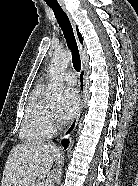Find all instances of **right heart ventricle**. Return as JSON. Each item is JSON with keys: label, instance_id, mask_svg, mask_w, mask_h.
Here are the masks:
<instances>
[{"label": "right heart ventricle", "instance_id": "right-heart-ventricle-1", "mask_svg": "<svg viewBox=\"0 0 138 186\" xmlns=\"http://www.w3.org/2000/svg\"><path fill=\"white\" fill-rule=\"evenodd\" d=\"M49 109L44 103L40 90H36L30 97L20 135L27 142H37L49 138L51 132L48 127L47 117Z\"/></svg>", "mask_w": 138, "mask_h": 186}]
</instances>
